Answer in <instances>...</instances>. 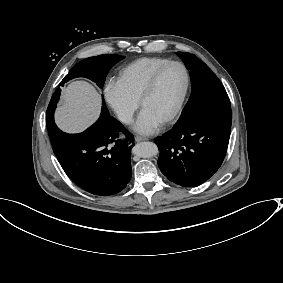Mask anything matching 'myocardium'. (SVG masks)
<instances>
[{
    "instance_id": "1",
    "label": "myocardium",
    "mask_w": 283,
    "mask_h": 283,
    "mask_svg": "<svg viewBox=\"0 0 283 283\" xmlns=\"http://www.w3.org/2000/svg\"><path fill=\"white\" fill-rule=\"evenodd\" d=\"M172 65H179L182 67L184 74H185V85L184 89L182 91V94L177 102L176 107L174 110L167 116L165 117L161 122L162 123H167L175 119L178 114L181 112L184 102L186 100L189 88H190V82H191V77H190V72L188 67L181 61H169L168 63L162 65L158 69H156L146 80L143 90L139 96V106L142 105L143 101L149 97V95L153 92V89L159 79V77L164 73V71L169 68Z\"/></svg>"
}]
</instances>
